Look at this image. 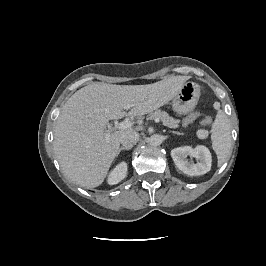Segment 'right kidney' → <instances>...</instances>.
I'll return each mask as SVG.
<instances>
[{
	"label": "right kidney",
	"instance_id": "1",
	"mask_svg": "<svg viewBox=\"0 0 266 266\" xmlns=\"http://www.w3.org/2000/svg\"><path fill=\"white\" fill-rule=\"evenodd\" d=\"M127 174V163L121 162L118 164L108 176V184H118L121 180L126 177Z\"/></svg>",
	"mask_w": 266,
	"mask_h": 266
}]
</instances>
